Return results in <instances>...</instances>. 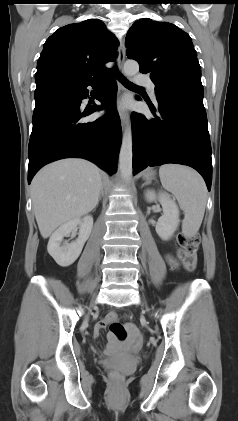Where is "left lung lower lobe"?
<instances>
[{
    "label": "left lung lower lobe",
    "mask_w": 238,
    "mask_h": 421,
    "mask_svg": "<svg viewBox=\"0 0 238 421\" xmlns=\"http://www.w3.org/2000/svg\"><path fill=\"white\" fill-rule=\"evenodd\" d=\"M161 117L133 112V174L147 166L184 164L196 169L208 190L212 182L211 143L201 81L155 89ZM153 110V107H150Z\"/></svg>",
    "instance_id": "obj_1"
}]
</instances>
